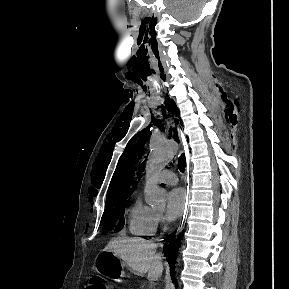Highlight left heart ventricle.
<instances>
[{"label":"left heart ventricle","mask_w":289,"mask_h":289,"mask_svg":"<svg viewBox=\"0 0 289 289\" xmlns=\"http://www.w3.org/2000/svg\"><path fill=\"white\" fill-rule=\"evenodd\" d=\"M162 211V209L161 208H159V209H156V212H158V213H160Z\"/></svg>","instance_id":"obj_1"}]
</instances>
